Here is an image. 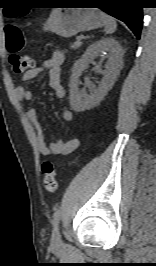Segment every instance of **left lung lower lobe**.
Segmentation results:
<instances>
[{
  "label": "left lung lower lobe",
  "mask_w": 156,
  "mask_h": 266,
  "mask_svg": "<svg viewBox=\"0 0 156 266\" xmlns=\"http://www.w3.org/2000/svg\"><path fill=\"white\" fill-rule=\"evenodd\" d=\"M85 7L102 8L109 15L123 21L140 38L143 11L140 0H68ZM68 3V2H67Z\"/></svg>",
  "instance_id": "0a47b994"
}]
</instances>
